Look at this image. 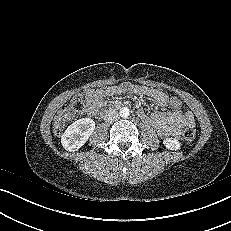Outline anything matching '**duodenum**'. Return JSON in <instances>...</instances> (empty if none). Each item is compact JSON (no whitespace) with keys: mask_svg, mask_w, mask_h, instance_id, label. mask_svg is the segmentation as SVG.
I'll return each mask as SVG.
<instances>
[{"mask_svg":"<svg viewBox=\"0 0 231 231\" xmlns=\"http://www.w3.org/2000/svg\"><path fill=\"white\" fill-rule=\"evenodd\" d=\"M118 105H120V104H118ZM111 109H107V111H110Z\"/></svg>","mask_w":231,"mask_h":231,"instance_id":"duodenum-1","label":"duodenum"}]
</instances>
